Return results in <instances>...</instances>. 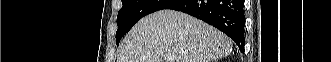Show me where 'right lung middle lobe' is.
<instances>
[{"mask_svg": "<svg viewBox=\"0 0 331 62\" xmlns=\"http://www.w3.org/2000/svg\"><path fill=\"white\" fill-rule=\"evenodd\" d=\"M174 0H122V8L118 12L116 43L120 42L134 24L142 17L163 9Z\"/></svg>", "mask_w": 331, "mask_h": 62, "instance_id": "obj_1", "label": "right lung middle lobe"}]
</instances>
